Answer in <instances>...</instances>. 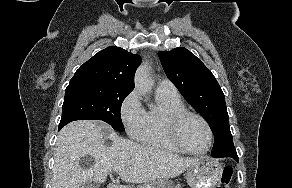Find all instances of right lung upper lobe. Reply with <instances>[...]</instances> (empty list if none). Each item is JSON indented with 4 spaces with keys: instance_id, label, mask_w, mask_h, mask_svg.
<instances>
[{
    "instance_id": "right-lung-upper-lobe-1",
    "label": "right lung upper lobe",
    "mask_w": 292,
    "mask_h": 188,
    "mask_svg": "<svg viewBox=\"0 0 292 188\" xmlns=\"http://www.w3.org/2000/svg\"><path fill=\"white\" fill-rule=\"evenodd\" d=\"M140 63L139 55L110 46L80 66L70 82H96L133 90L134 74Z\"/></svg>"
}]
</instances>
